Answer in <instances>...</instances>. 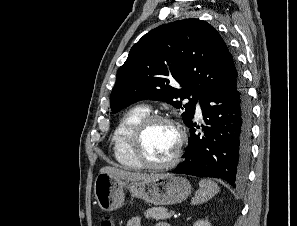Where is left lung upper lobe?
Wrapping results in <instances>:
<instances>
[{"label": "left lung upper lobe", "mask_w": 297, "mask_h": 226, "mask_svg": "<svg viewBox=\"0 0 297 226\" xmlns=\"http://www.w3.org/2000/svg\"><path fill=\"white\" fill-rule=\"evenodd\" d=\"M240 81L216 29L202 20H180L151 30L131 48L117 71L111 110L116 113L143 99L160 100L185 110L182 117L188 124L201 93L233 88ZM185 98L189 102L182 104Z\"/></svg>", "instance_id": "left-lung-upper-lobe-1"}]
</instances>
